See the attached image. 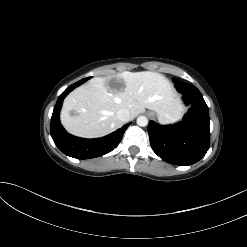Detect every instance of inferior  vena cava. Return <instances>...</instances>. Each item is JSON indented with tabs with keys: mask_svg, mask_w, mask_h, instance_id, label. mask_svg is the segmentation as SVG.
Listing matches in <instances>:
<instances>
[{
	"mask_svg": "<svg viewBox=\"0 0 247 247\" xmlns=\"http://www.w3.org/2000/svg\"><path fill=\"white\" fill-rule=\"evenodd\" d=\"M117 117L119 120H121L122 122H127L130 120V112L128 109H120L117 112Z\"/></svg>",
	"mask_w": 247,
	"mask_h": 247,
	"instance_id": "obj_1",
	"label": "inferior vena cava"
}]
</instances>
